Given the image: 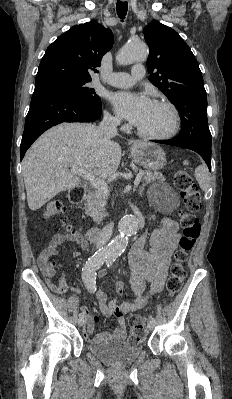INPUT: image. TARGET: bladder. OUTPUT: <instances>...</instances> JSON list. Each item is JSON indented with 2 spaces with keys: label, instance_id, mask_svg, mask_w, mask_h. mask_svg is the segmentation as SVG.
Listing matches in <instances>:
<instances>
[{
  "label": "bladder",
  "instance_id": "bladder-1",
  "mask_svg": "<svg viewBox=\"0 0 232 399\" xmlns=\"http://www.w3.org/2000/svg\"><path fill=\"white\" fill-rule=\"evenodd\" d=\"M87 351L100 361L110 365H125L135 361L143 352L142 345L122 340H112L86 345Z\"/></svg>",
  "mask_w": 232,
  "mask_h": 399
}]
</instances>
